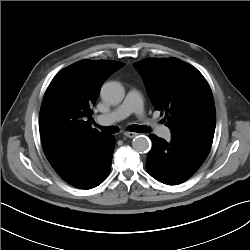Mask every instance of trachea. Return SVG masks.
I'll use <instances>...</instances> for the list:
<instances>
[{"instance_id":"trachea-1","label":"trachea","mask_w":250,"mask_h":250,"mask_svg":"<svg viewBox=\"0 0 250 250\" xmlns=\"http://www.w3.org/2000/svg\"><path fill=\"white\" fill-rule=\"evenodd\" d=\"M98 128L101 129L102 132L104 133H117L118 132V128L115 126H99L97 124H95ZM129 131H133V132H138V133H148L150 132V129L146 126L143 125H132L128 127Z\"/></svg>"}]
</instances>
